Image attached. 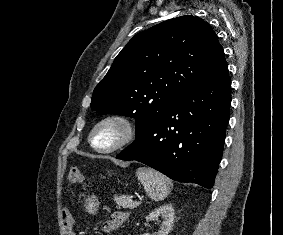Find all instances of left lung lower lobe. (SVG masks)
<instances>
[{
	"mask_svg": "<svg viewBox=\"0 0 283 235\" xmlns=\"http://www.w3.org/2000/svg\"><path fill=\"white\" fill-rule=\"evenodd\" d=\"M230 88L225 63L186 89L116 158L142 162L178 182L212 188L230 116Z\"/></svg>",
	"mask_w": 283,
	"mask_h": 235,
	"instance_id": "0a47b994",
	"label": "left lung lower lobe"
}]
</instances>
